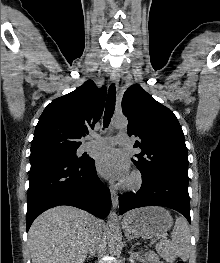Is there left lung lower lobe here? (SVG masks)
<instances>
[{
    "mask_svg": "<svg viewBox=\"0 0 220 263\" xmlns=\"http://www.w3.org/2000/svg\"><path fill=\"white\" fill-rule=\"evenodd\" d=\"M120 214L144 206H163L180 212L191 223L188 182L168 175L156 174L143 178L137 193L119 196Z\"/></svg>",
    "mask_w": 220,
    "mask_h": 263,
    "instance_id": "0a47b994",
    "label": "left lung lower lobe"
}]
</instances>
